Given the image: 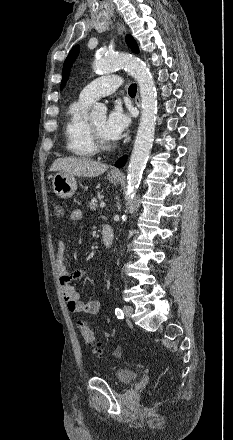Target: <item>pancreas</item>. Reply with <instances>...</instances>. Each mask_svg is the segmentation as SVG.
<instances>
[{
    "label": "pancreas",
    "mask_w": 233,
    "mask_h": 440,
    "mask_svg": "<svg viewBox=\"0 0 233 440\" xmlns=\"http://www.w3.org/2000/svg\"><path fill=\"white\" fill-rule=\"evenodd\" d=\"M97 199L96 198H93L89 203H88V208L90 209V210H92V211H94V210H96L97 209V207H98V204H97Z\"/></svg>",
    "instance_id": "obj_1"
}]
</instances>
